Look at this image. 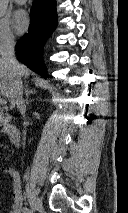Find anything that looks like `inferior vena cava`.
Wrapping results in <instances>:
<instances>
[{
  "label": "inferior vena cava",
  "mask_w": 128,
  "mask_h": 213,
  "mask_svg": "<svg viewBox=\"0 0 128 213\" xmlns=\"http://www.w3.org/2000/svg\"><path fill=\"white\" fill-rule=\"evenodd\" d=\"M15 41L14 37L8 35L4 37L3 42L0 46V54L2 59L5 60L6 64L9 66L11 73L14 77L12 97L14 103L17 105L21 115L25 114L26 106L23 100V87H22V70L21 65L15 58Z\"/></svg>",
  "instance_id": "1"
}]
</instances>
